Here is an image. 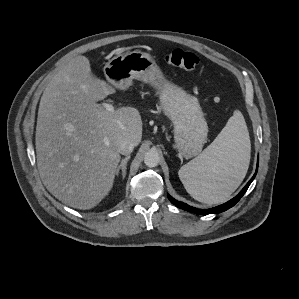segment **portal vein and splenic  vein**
<instances>
[{
    "label": "portal vein and splenic vein",
    "instance_id": "obj_1",
    "mask_svg": "<svg viewBox=\"0 0 299 299\" xmlns=\"http://www.w3.org/2000/svg\"><path fill=\"white\" fill-rule=\"evenodd\" d=\"M101 106H103L108 112H114V106L110 103H102Z\"/></svg>",
    "mask_w": 299,
    "mask_h": 299
}]
</instances>
